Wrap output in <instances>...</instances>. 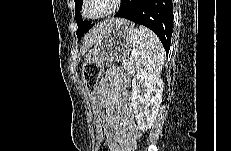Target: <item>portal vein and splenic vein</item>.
I'll list each match as a JSON object with an SVG mask.
<instances>
[{"label": "portal vein and splenic vein", "instance_id": "portal-vein-and-splenic-vein-1", "mask_svg": "<svg viewBox=\"0 0 231 151\" xmlns=\"http://www.w3.org/2000/svg\"><path fill=\"white\" fill-rule=\"evenodd\" d=\"M131 57L134 58V57H135V53H132V54H131Z\"/></svg>", "mask_w": 231, "mask_h": 151}]
</instances>
